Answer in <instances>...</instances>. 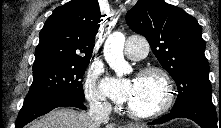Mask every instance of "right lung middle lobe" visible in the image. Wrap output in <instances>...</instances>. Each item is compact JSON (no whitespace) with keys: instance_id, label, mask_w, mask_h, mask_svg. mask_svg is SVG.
Instances as JSON below:
<instances>
[{"instance_id":"obj_1","label":"right lung middle lobe","mask_w":221,"mask_h":128,"mask_svg":"<svg viewBox=\"0 0 221 128\" xmlns=\"http://www.w3.org/2000/svg\"><path fill=\"white\" fill-rule=\"evenodd\" d=\"M89 61V59L79 60L33 71V82L24 103L60 94L84 101L85 96L80 79L84 75Z\"/></svg>"}]
</instances>
